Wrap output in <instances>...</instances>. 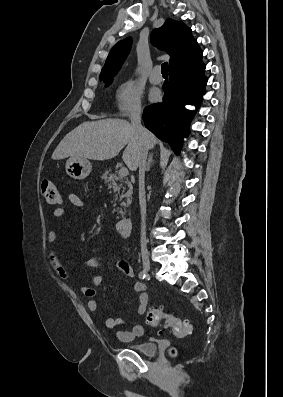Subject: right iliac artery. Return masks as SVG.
Returning a JSON list of instances; mask_svg holds the SVG:
<instances>
[{
  "mask_svg": "<svg viewBox=\"0 0 283 397\" xmlns=\"http://www.w3.org/2000/svg\"><path fill=\"white\" fill-rule=\"evenodd\" d=\"M146 277V273L144 272V271H141L140 273H139V278L140 279H144Z\"/></svg>",
  "mask_w": 283,
  "mask_h": 397,
  "instance_id": "1",
  "label": "right iliac artery"
}]
</instances>
